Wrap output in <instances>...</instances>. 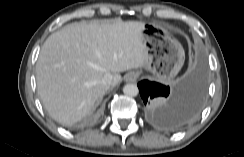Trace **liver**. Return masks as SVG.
Listing matches in <instances>:
<instances>
[{"label": "liver", "mask_w": 244, "mask_h": 157, "mask_svg": "<svg viewBox=\"0 0 244 157\" xmlns=\"http://www.w3.org/2000/svg\"><path fill=\"white\" fill-rule=\"evenodd\" d=\"M144 23L91 21L71 23L44 42L36 64L37 92L50 116L71 125L93 109L120 72L142 68L147 51ZM111 74L110 85L103 83Z\"/></svg>", "instance_id": "6515ba94"}]
</instances>
